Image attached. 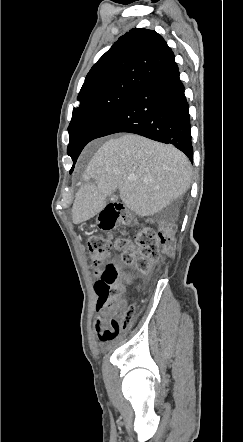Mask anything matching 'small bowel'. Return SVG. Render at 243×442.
<instances>
[{
  "label": "small bowel",
  "mask_w": 243,
  "mask_h": 442,
  "mask_svg": "<svg viewBox=\"0 0 243 442\" xmlns=\"http://www.w3.org/2000/svg\"><path fill=\"white\" fill-rule=\"evenodd\" d=\"M124 308V302L121 301L120 305L118 307V310L121 311ZM98 311V317L95 321V330L96 333L100 339V341L104 342V343H108L110 341H103L101 340V336L103 335V333L109 329L110 324H111V320H109V317L113 314L114 309L108 306H105L103 308L97 309Z\"/></svg>",
  "instance_id": "obj_1"
}]
</instances>
